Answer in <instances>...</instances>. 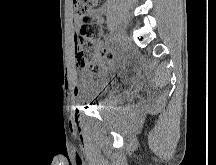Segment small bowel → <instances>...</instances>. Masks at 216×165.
Wrapping results in <instances>:
<instances>
[{"label":"small bowel","instance_id":"obj_1","mask_svg":"<svg viewBox=\"0 0 216 165\" xmlns=\"http://www.w3.org/2000/svg\"><path fill=\"white\" fill-rule=\"evenodd\" d=\"M103 13H104L103 8H99V9L93 11V15L96 18L98 23H102ZM95 48L98 52L109 54V56H110L109 61L112 59V57H113L112 53L110 51H104L101 43H98ZM91 89H92V84L88 79H86V80H84L81 88L75 89V95L79 94V92L86 93L87 95H89V93L91 92Z\"/></svg>","mask_w":216,"mask_h":165}]
</instances>
